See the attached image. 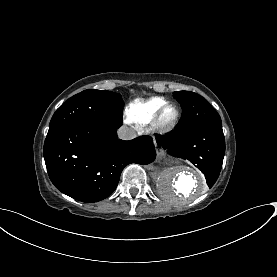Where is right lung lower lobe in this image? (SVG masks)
I'll use <instances>...</instances> for the list:
<instances>
[{
    "label": "right lung lower lobe",
    "mask_w": 277,
    "mask_h": 277,
    "mask_svg": "<svg viewBox=\"0 0 277 277\" xmlns=\"http://www.w3.org/2000/svg\"><path fill=\"white\" fill-rule=\"evenodd\" d=\"M121 123H81L47 134L44 159L54 186L76 200L97 202L113 193L126 165L154 161L151 137L118 139Z\"/></svg>",
    "instance_id": "1"
}]
</instances>
